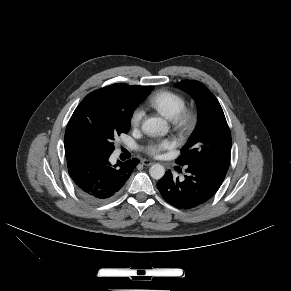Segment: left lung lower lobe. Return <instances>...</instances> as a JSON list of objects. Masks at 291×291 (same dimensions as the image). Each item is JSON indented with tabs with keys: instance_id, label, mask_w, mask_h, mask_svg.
<instances>
[{
	"instance_id": "1",
	"label": "left lung lower lobe",
	"mask_w": 291,
	"mask_h": 291,
	"mask_svg": "<svg viewBox=\"0 0 291 291\" xmlns=\"http://www.w3.org/2000/svg\"><path fill=\"white\" fill-rule=\"evenodd\" d=\"M184 180L173 178L170 171L159 180L162 197L179 209L195 208L208 201L221 186L227 171L200 163L186 165Z\"/></svg>"
}]
</instances>
